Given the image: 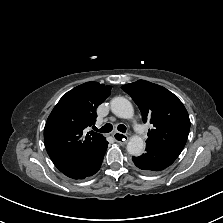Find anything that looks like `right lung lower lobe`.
<instances>
[{
    "label": "right lung lower lobe",
    "instance_id": "1",
    "mask_svg": "<svg viewBox=\"0 0 223 223\" xmlns=\"http://www.w3.org/2000/svg\"><path fill=\"white\" fill-rule=\"evenodd\" d=\"M107 145L108 142L105 140L89 157L61 170V172L73 179H84L95 174L100 169Z\"/></svg>",
    "mask_w": 223,
    "mask_h": 223
}]
</instances>
